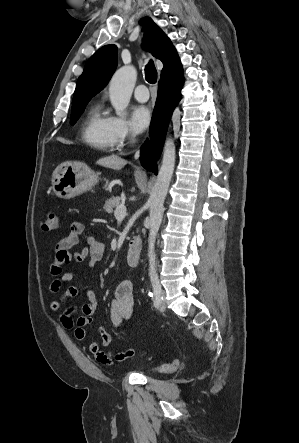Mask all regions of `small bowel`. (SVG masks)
Returning a JSON list of instances; mask_svg holds the SVG:
<instances>
[{
	"instance_id": "obj_1",
	"label": "small bowel",
	"mask_w": 299,
	"mask_h": 443,
	"mask_svg": "<svg viewBox=\"0 0 299 443\" xmlns=\"http://www.w3.org/2000/svg\"><path fill=\"white\" fill-rule=\"evenodd\" d=\"M82 239L85 241L82 249L77 252H71V249L77 246ZM104 254V243L97 239L95 235L86 234L82 222H73L67 235L61 238L55 246L54 261L49 269V273L53 277L49 286L50 293H59L67 282L72 281L76 277L75 271H64L63 265L69 264L71 261H85L87 267L93 269L103 259ZM78 293V287L71 285L62 292L57 299L50 303V310L52 312L61 311L60 322L62 326L68 330H72L78 341L87 342L89 352L101 364L116 365L132 358L135 354V350L132 347L118 353L105 352L102 350V348L107 347L111 342L110 334L103 327H99V343L89 340L85 327L93 323V315L97 305V296L93 290H86L85 295L88 300L86 303L79 307L70 305L63 309L68 299L77 296ZM133 308V283L130 279H124L117 284L114 298L109 306L111 323L116 327L123 326L130 320ZM78 311L80 312V316L74 318V314Z\"/></svg>"
}]
</instances>
